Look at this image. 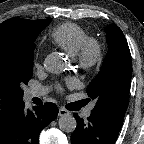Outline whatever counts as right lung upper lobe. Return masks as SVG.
Segmentation results:
<instances>
[{"label": "right lung upper lobe", "mask_w": 144, "mask_h": 144, "mask_svg": "<svg viewBox=\"0 0 144 144\" xmlns=\"http://www.w3.org/2000/svg\"><path fill=\"white\" fill-rule=\"evenodd\" d=\"M46 20H27L11 18L0 24V129L14 116L19 107L24 103L22 97L10 84L6 72L5 61L18 42V38L35 29H44L48 26Z\"/></svg>", "instance_id": "right-lung-upper-lobe-1"}]
</instances>
